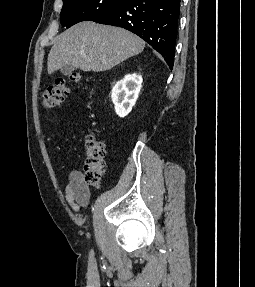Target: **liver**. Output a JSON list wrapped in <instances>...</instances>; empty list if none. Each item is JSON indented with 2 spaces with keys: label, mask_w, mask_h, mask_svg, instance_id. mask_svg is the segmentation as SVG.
Masks as SVG:
<instances>
[{
  "label": "liver",
  "mask_w": 255,
  "mask_h": 287,
  "mask_svg": "<svg viewBox=\"0 0 255 287\" xmlns=\"http://www.w3.org/2000/svg\"><path fill=\"white\" fill-rule=\"evenodd\" d=\"M145 42L123 28L80 22L55 38L47 62L48 74L62 66L84 72H105L131 56L141 54Z\"/></svg>",
  "instance_id": "obj_1"
}]
</instances>
